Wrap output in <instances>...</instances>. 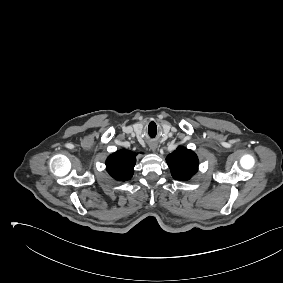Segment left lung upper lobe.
Masks as SVG:
<instances>
[{
	"instance_id": "1",
	"label": "left lung upper lobe",
	"mask_w": 283,
	"mask_h": 283,
	"mask_svg": "<svg viewBox=\"0 0 283 283\" xmlns=\"http://www.w3.org/2000/svg\"><path fill=\"white\" fill-rule=\"evenodd\" d=\"M166 161L176 180L187 181L198 171L197 155L184 147H178L167 156Z\"/></svg>"
}]
</instances>
